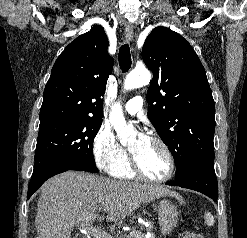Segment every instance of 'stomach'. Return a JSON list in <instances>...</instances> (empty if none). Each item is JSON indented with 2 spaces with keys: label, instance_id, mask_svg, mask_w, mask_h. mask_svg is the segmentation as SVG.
<instances>
[{
  "label": "stomach",
  "instance_id": "stomach-1",
  "mask_svg": "<svg viewBox=\"0 0 247 238\" xmlns=\"http://www.w3.org/2000/svg\"><path fill=\"white\" fill-rule=\"evenodd\" d=\"M158 220L163 235L169 234L176 227L178 214L176 207L170 200L163 199L160 201L158 205Z\"/></svg>",
  "mask_w": 247,
  "mask_h": 238
}]
</instances>
